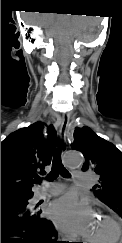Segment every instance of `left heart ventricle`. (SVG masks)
I'll list each match as a JSON object with an SVG mask.
<instances>
[{"label": "left heart ventricle", "mask_w": 122, "mask_h": 243, "mask_svg": "<svg viewBox=\"0 0 122 243\" xmlns=\"http://www.w3.org/2000/svg\"><path fill=\"white\" fill-rule=\"evenodd\" d=\"M108 224L101 218H94L88 233L89 238H101L108 233Z\"/></svg>", "instance_id": "1"}]
</instances>
